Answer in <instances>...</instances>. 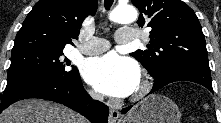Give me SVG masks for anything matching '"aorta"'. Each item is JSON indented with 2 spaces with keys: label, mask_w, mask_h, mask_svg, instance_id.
<instances>
[{
  "label": "aorta",
  "mask_w": 221,
  "mask_h": 123,
  "mask_svg": "<svg viewBox=\"0 0 221 123\" xmlns=\"http://www.w3.org/2000/svg\"><path fill=\"white\" fill-rule=\"evenodd\" d=\"M138 13L133 6H118L109 15V19L115 23L127 24L137 20Z\"/></svg>",
  "instance_id": "obj_1"
}]
</instances>
